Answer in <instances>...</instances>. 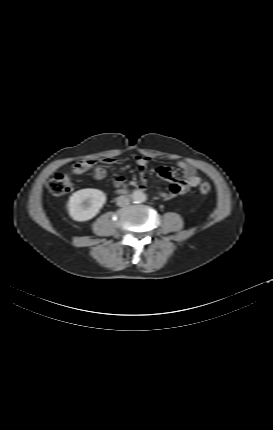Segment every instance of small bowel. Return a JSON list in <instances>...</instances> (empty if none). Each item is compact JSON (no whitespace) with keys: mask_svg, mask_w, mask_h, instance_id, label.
<instances>
[{"mask_svg":"<svg viewBox=\"0 0 273 430\" xmlns=\"http://www.w3.org/2000/svg\"><path fill=\"white\" fill-rule=\"evenodd\" d=\"M117 159L113 157L105 158V159H93V160H82L78 161L73 165V172L77 175H82L86 172V170L91 166H96V170L94 173V178L96 180H103L107 177L108 172L104 170L100 165L102 163L106 164H114ZM150 162V158L146 156H137L136 164L140 170H144L148 163ZM179 169L182 171L184 179H179L176 175V172L167 167H162L158 169V175L168 182V189L166 191H159L158 195L165 199L169 200L175 198L179 195L185 194L190 189L197 187L201 178L198 171L190 164L179 161L177 163ZM125 183V178L123 176H117L115 178L114 184L116 187H121ZM141 189L146 188V184L142 181L138 185Z\"/></svg>","mask_w":273,"mask_h":430,"instance_id":"obj_1","label":"small bowel"}]
</instances>
